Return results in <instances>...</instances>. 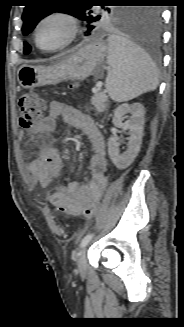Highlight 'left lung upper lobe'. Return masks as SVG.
<instances>
[{"label":"left lung upper lobe","instance_id":"1","mask_svg":"<svg viewBox=\"0 0 184 327\" xmlns=\"http://www.w3.org/2000/svg\"><path fill=\"white\" fill-rule=\"evenodd\" d=\"M56 2V0H31V4L25 7L22 15L23 35L29 34L41 19L53 12L68 13L87 22L88 33L96 27L107 24L133 26L139 22L142 14V9H112L109 6H100L102 10L100 11L89 4L92 2L90 0H77L76 5L70 6L55 4ZM107 2L129 1L109 0ZM30 51L31 47L24 42V54Z\"/></svg>","mask_w":184,"mask_h":327}]
</instances>
